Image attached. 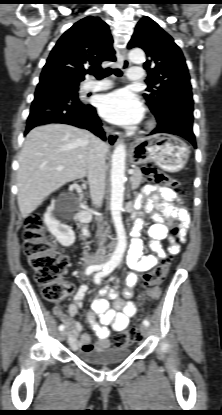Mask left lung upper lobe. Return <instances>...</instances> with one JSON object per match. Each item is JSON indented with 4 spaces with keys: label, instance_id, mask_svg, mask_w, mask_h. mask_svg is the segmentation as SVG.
<instances>
[{
    "label": "left lung upper lobe",
    "instance_id": "5c2ea615",
    "mask_svg": "<svg viewBox=\"0 0 222 415\" xmlns=\"http://www.w3.org/2000/svg\"><path fill=\"white\" fill-rule=\"evenodd\" d=\"M139 47L147 54L144 68L148 72L145 82L148 84L144 97L156 118L165 114L180 115L182 110L178 98L170 102L166 98L181 89L191 90L190 76L181 49L173 38L155 21L143 17L136 25L135 32L128 43V48Z\"/></svg>",
    "mask_w": 222,
    "mask_h": 415
}]
</instances>
